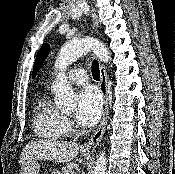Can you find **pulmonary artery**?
<instances>
[{"mask_svg": "<svg viewBox=\"0 0 175 174\" xmlns=\"http://www.w3.org/2000/svg\"><path fill=\"white\" fill-rule=\"evenodd\" d=\"M68 79L71 83L82 85L87 81V73L82 68H75L69 72Z\"/></svg>", "mask_w": 175, "mask_h": 174, "instance_id": "pulmonary-artery-1", "label": "pulmonary artery"}]
</instances>
